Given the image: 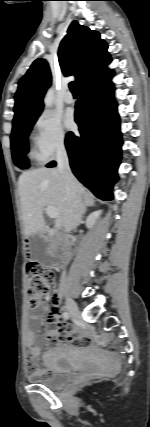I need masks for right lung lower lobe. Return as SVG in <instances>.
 I'll return each instance as SVG.
<instances>
[{
	"label": "right lung lower lobe",
	"mask_w": 150,
	"mask_h": 427,
	"mask_svg": "<svg viewBox=\"0 0 150 427\" xmlns=\"http://www.w3.org/2000/svg\"><path fill=\"white\" fill-rule=\"evenodd\" d=\"M113 70L79 90L75 121L79 133H67L65 145L75 176L98 198L112 200L111 188L117 179L121 159L120 120L113 98ZM50 162L47 167H54Z\"/></svg>",
	"instance_id": "98d812e1"
}]
</instances>
